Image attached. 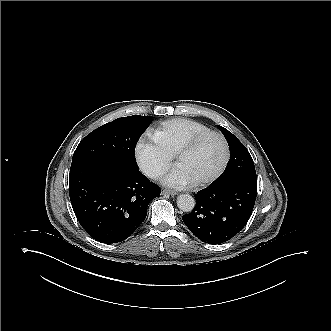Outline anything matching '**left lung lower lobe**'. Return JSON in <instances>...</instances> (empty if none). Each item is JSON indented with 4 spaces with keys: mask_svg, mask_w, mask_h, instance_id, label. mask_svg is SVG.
<instances>
[{
    "mask_svg": "<svg viewBox=\"0 0 331 331\" xmlns=\"http://www.w3.org/2000/svg\"><path fill=\"white\" fill-rule=\"evenodd\" d=\"M257 181L233 178L200 191L195 209L183 221L200 240L221 244L236 236L254 208Z\"/></svg>",
    "mask_w": 331,
    "mask_h": 331,
    "instance_id": "0a47b994",
    "label": "left lung lower lobe"
}]
</instances>
